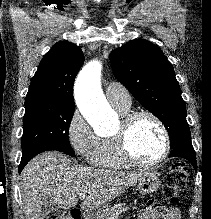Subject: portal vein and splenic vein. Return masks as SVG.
I'll list each match as a JSON object with an SVG mask.
<instances>
[{"mask_svg":"<svg viewBox=\"0 0 211 219\" xmlns=\"http://www.w3.org/2000/svg\"><path fill=\"white\" fill-rule=\"evenodd\" d=\"M78 197L81 199V200H84L86 198V194L85 193H80L78 194Z\"/></svg>","mask_w":211,"mask_h":219,"instance_id":"1","label":"portal vein and splenic vein"}]
</instances>
